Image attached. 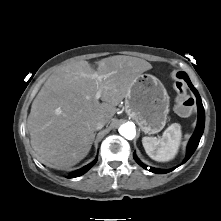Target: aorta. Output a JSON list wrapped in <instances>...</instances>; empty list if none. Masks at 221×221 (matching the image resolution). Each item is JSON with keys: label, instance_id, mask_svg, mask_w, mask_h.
Returning <instances> with one entry per match:
<instances>
[{"label": "aorta", "instance_id": "obj_1", "mask_svg": "<svg viewBox=\"0 0 221 221\" xmlns=\"http://www.w3.org/2000/svg\"><path fill=\"white\" fill-rule=\"evenodd\" d=\"M119 133L126 139L132 140L136 135L135 125L132 122H127L120 126Z\"/></svg>", "mask_w": 221, "mask_h": 221}]
</instances>
